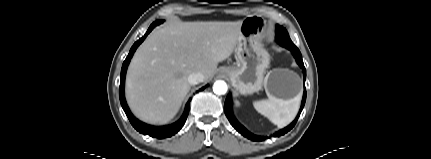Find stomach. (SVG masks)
Segmentation results:
<instances>
[{
    "label": "stomach",
    "mask_w": 431,
    "mask_h": 159,
    "mask_svg": "<svg viewBox=\"0 0 431 159\" xmlns=\"http://www.w3.org/2000/svg\"><path fill=\"white\" fill-rule=\"evenodd\" d=\"M266 21L259 15H249L242 20L240 36L235 49L236 63L223 67L221 72L232 86L243 95L258 92L264 86L268 95L290 100L301 93V79L293 71L275 69L266 76L270 55L263 48L261 39Z\"/></svg>",
    "instance_id": "stomach-1"
}]
</instances>
